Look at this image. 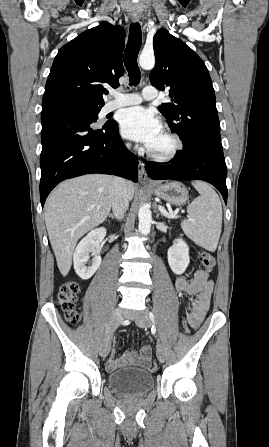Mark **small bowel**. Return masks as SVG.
I'll return each mask as SVG.
<instances>
[{"label": "small bowel", "instance_id": "1", "mask_svg": "<svg viewBox=\"0 0 269 447\" xmlns=\"http://www.w3.org/2000/svg\"><path fill=\"white\" fill-rule=\"evenodd\" d=\"M214 285L213 279L203 269L192 270L190 280L182 277H177L174 280V287L179 293L193 297L192 302L188 305V318L194 328H198L202 324L209 310ZM143 346L140 349L139 356L135 350L130 349L122 356L116 358L115 350L112 349L107 362V368L109 370H115L128 363H135L137 366L146 369V363L147 361H151V356L143 355Z\"/></svg>", "mask_w": 269, "mask_h": 447}]
</instances>
